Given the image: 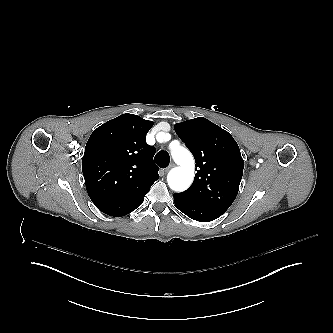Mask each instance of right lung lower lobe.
Segmentation results:
<instances>
[{
  "instance_id": "obj_1",
  "label": "right lung lower lobe",
  "mask_w": 333,
  "mask_h": 333,
  "mask_svg": "<svg viewBox=\"0 0 333 333\" xmlns=\"http://www.w3.org/2000/svg\"><path fill=\"white\" fill-rule=\"evenodd\" d=\"M83 175L88 195L95 206L111 216H124L138 208L156 181L135 176L117 179L103 159L90 163Z\"/></svg>"
}]
</instances>
